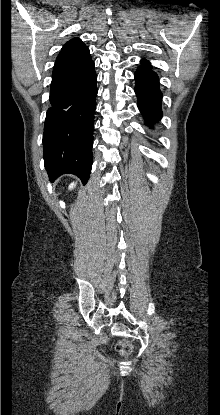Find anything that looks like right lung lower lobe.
<instances>
[{
	"mask_svg": "<svg viewBox=\"0 0 220 415\" xmlns=\"http://www.w3.org/2000/svg\"><path fill=\"white\" fill-rule=\"evenodd\" d=\"M96 83L92 59L52 76L43 133L44 164L52 182L66 173L77 175L84 184L89 179Z\"/></svg>",
	"mask_w": 220,
	"mask_h": 415,
	"instance_id": "98d812e1",
	"label": "right lung lower lobe"
}]
</instances>
